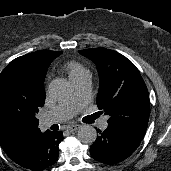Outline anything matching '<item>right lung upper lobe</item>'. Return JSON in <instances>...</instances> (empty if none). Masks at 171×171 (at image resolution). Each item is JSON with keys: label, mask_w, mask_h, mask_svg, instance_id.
I'll return each mask as SVG.
<instances>
[{"label": "right lung upper lobe", "mask_w": 171, "mask_h": 171, "mask_svg": "<svg viewBox=\"0 0 171 171\" xmlns=\"http://www.w3.org/2000/svg\"><path fill=\"white\" fill-rule=\"evenodd\" d=\"M61 53L62 51H36L18 57L13 62L20 65L22 72L29 79L32 88L37 94L45 98L43 82L47 69L51 62ZM40 133V129L37 128L23 136L9 137L0 135V145L5 153L14 161L29 148L32 141Z\"/></svg>", "instance_id": "1"}]
</instances>
